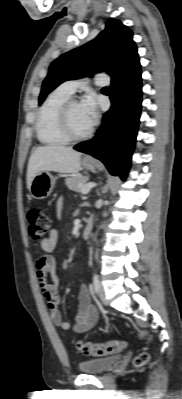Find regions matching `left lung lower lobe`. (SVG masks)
Instances as JSON below:
<instances>
[{
  "label": "left lung lower lobe",
  "instance_id": "obj_1",
  "mask_svg": "<svg viewBox=\"0 0 182 399\" xmlns=\"http://www.w3.org/2000/svg\"><path fill=\"white\" fill-rule=\"evenodd\" d=\"M141 65L112 80V106L102 118L96 136L74 147L101 160L112 175L126 179L139 125L142 84Z\"/></svg>",
  "mask_w": 182,
  "mask_h": 399
}]
</instances>
